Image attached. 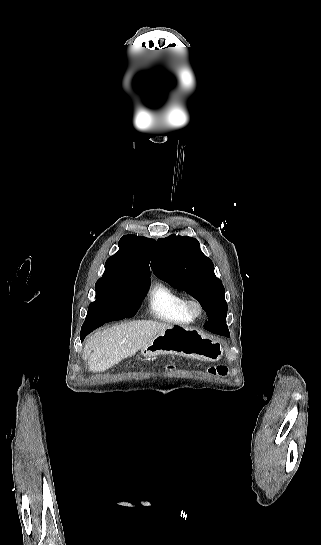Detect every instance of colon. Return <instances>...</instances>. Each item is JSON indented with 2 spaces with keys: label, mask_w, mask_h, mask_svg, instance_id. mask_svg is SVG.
Here are the masks:
<instances>
[{
  "label": "colon",
  "mask_w": 321,
  "mask_h": 545,
  "mask_svg": "<svg viewBox=\"0 0 321 545\" xmlns=\"http://www.w3.org/2000/svg\"><path fill=\"white\" fill-rule=\"evenodd\" d=\"M208 372L214 376H226L228 373V368L227 366L222 364L214 365L208 368Z\"/></svg>",
  "instance_id": "colon-1"
}]
</instances>
